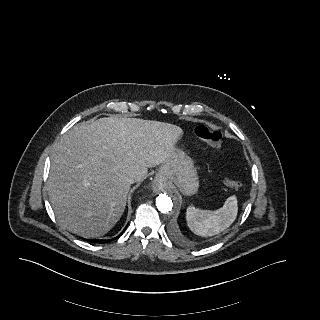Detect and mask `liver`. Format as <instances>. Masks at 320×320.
<instances>
[{"label": "liver", "instance_id": "6515ba94", "mask_svg": "<svg viewBox=\"0 0 320 320\" xmlns=\"http://www.w3.org/2000/svg\"><path fill=\"white\" fill-rule=\"evenodd\" d=\"M183 130L137 118L104 117L72 127L53 153L48 195L59 223L84 238L108 233L130 189L166 161Z\"/></svg>", "mask_w": 320, "mask_h": 320}]
</instances>
